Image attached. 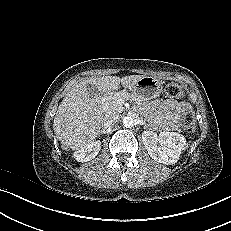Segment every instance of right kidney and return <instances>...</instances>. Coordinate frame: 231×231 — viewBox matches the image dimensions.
I'll return each mask as SVG.
<instances>
[{"mask_svg":"<svg viewBox=\"0 0 231 231\" xmlns=\"http://www.w3.org/2000/svg\"><path fill=\"white\" fill-rule=\"evenodd\" d=\"M101 149V142L100 141H91L86 143L84 146L78 148L73 153V157L78 162H88L94 159Z\"/></svg>","mask_w":231,"mask_h":231,"instance_id":"right-kidney-1","label":"right kidney"}]
</instances>
